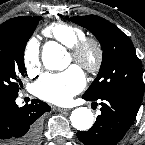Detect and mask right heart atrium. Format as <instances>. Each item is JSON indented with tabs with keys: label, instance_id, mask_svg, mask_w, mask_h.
Here are the masks:
<instances>
[{
	"label": "right heart atrium",
	"instance_id": "obj_1",
	"mask_svg": "<svg viewBox=\"0 0 145 145\" xmlns=\"http://www.w3.org/2000/svg\"><path fill=\"white\" fill-rule=\"evenodd\" d=\"M23 60L28 73H36L40 67V46L35 38H31L23 52Z\"/></svg>",
	"mask_w": 145,
	"mask_h": 145
}]
</instances>
